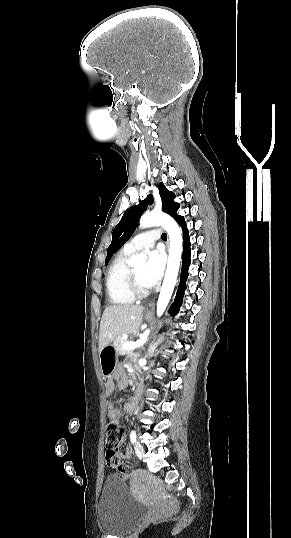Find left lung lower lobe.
I'll use <instances>...</instances> for the list:
<instances>
[{
	"mask_svg": "<svg viewBox=\"0 0 291 538\" xmlns=\"http://www.w3.org/2000/svg\"><path fill=\"white\" fill-rule=\"evenodd\" d=\"M176 221L180 224V226L182 227L183 229V233H184V251H183V260H182V272H181V280H180V284H179V288H178V292H177V295H176V299L174 301V303L172 304L171 308H170V313L171 315H175L178 310H179V307L182 303V298H183V295H184V290L186 288V279H187V276H188V273H187V269L190 265V239H189V235H188V229L186 227V223H185V220H184V217L180 216L176 219Z\"/></svg>",
	"mask_w": 291,
	"mask_h": 538,
	"instance_id": "left-lung-lower-lobe-1",
	"label": "left lung lower lobe"
}]
</instances>
